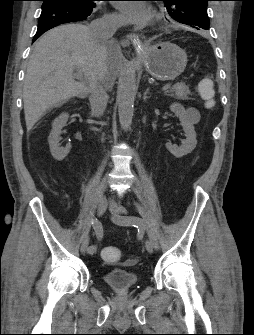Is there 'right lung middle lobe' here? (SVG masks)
I'll return each instance as SVG.
<instances>
[{
    "instance_id": "dd1d6c3e",
    "label": "right lung middle lobe",
    "mask_w": 254,
    "mask_h": 335,
    "mask_svg": "<svg viewBox=\"0 0 254 335\" xmlns=\"http://www.w3.org/2000/svg\"><path fill=\"white\" fill-rule=\"evenodd\" d=\"M42 1L45 2V1H48V0H42ZM74 1L81 2L83 4H86V5H89V6H92V7L96 6V4L94 3V1H96V0H74Z\"/></svg>"
}]
</instances>
